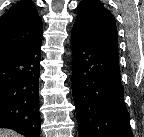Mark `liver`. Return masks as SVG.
<instances>
[{"mask_svg": "<svg viewBox=\"0 0 144 137\" xmlns=\"http://www.w3.org/2000/svg\"><path fill=\"white\" fill-rule=\"evenodd\" d=\"M0 137H21V136L13 130L0 129Z\"/></svg>", "mask_w": 144, "mask_h": 137, "instance_id": "1", "label": "liver"}]
</instances>
